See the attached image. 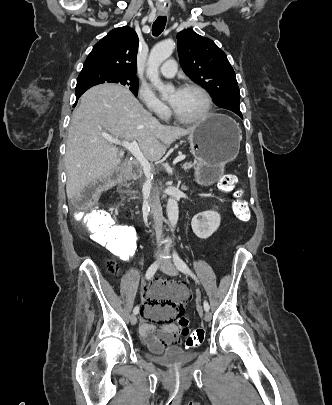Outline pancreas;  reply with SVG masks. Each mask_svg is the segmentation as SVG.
<instances>
[{"label":"pancreas","instance_id":"1","mask_svg":"<svg viewBox=\"0 0 332 405\" xmlns=\"http://www.w3.org/2000/svg\"><path fill=\"white\" fill-rule=\"evenodd\" d=\"M194 165H195V163H188V162H186V163L183 164V167L191 168V167L194 166Z\"/></svg>","mask_w":332,"mask_h":405}]
</instances>
